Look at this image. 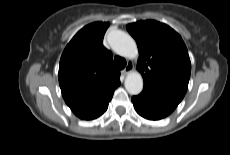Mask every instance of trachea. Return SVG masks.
I'll use <instances>...</instances> for the list:
<instances>
[{
  "label": "trachea",
  "mask_w": 230,
  "mask_h": 155,
  "mask_svg": "<svg viewBox=\"0 0 230 155\" xmlns=\"http://www.w3.org/2000/svg\"><path fill=\"white\" fill-rule=\"evenodd\" d=\"M127 62L124 58L120 57V56H115L114 58V65L118 68V69H123L126 66Z\"/></svg>",
  "instance_id": "1"
}]
</instances>
